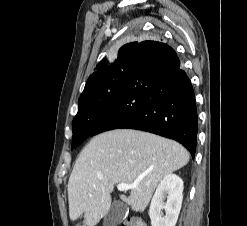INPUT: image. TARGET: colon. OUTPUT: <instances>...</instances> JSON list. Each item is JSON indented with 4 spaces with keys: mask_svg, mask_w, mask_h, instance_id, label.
I'll list each match as a JSON object with an SVG mask.
<instances>
[{
    "mask_svg": "<svg viewBox=\"0 0 247 226\" xmlns=\"http://www.w3.org/2000/svg\"><path fill=\"white\" fill-rule=\"evenodd\" d=\"M121 226H146L145 222L139 217H130L126 219Z\"/></svg>",
    "mask_w": 247,
    "mask_h": 226,
    "instance_id": "5ec220e1",
    "label": "colon"
}]
</instances>
